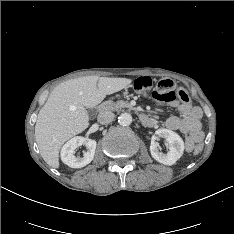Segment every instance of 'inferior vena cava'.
<instances>
[{"instance_id": "602c4592", "label": "inferior vena cava", "mask_w": 234, "mask_h": 234, "mask_svg": "<svg viewBox=\"0 0 234 234\" xmlns=\"http://www.w3.org/2000/svg\"><path fill=\"white\" fill-rule=\"evenodd\" d=\"M114 117L115 115L113 112L103 111L99 113L97 120L100 124H108L114 120Z\"/></svg>"}]
</instances>
